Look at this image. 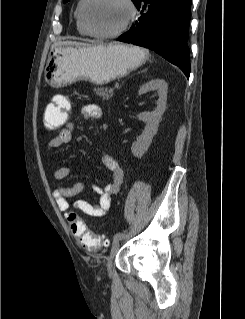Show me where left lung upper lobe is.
Instances as JSON below:
<instances>
[{
  "instance_id": "obj_1",
  "label": "left lung upper lobe",
  "mask_w": 245,
  "mask_h": 319,
  "mask_svg": "<svg viewBox=\"0 0 245 319\" xmlns=\"http://www.w3.org/2000/svg\"><path fill=\"white\" fill-rule=\"evenodd\" d=\"M69 0H64V3L68 2ZM134 4H136L137 0H132Z\"/></svg>"
}]
</instances>
